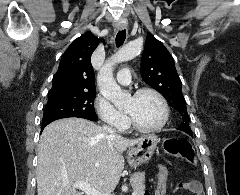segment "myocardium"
<instances>
[{
    "label": "myocardium",
    "instance_id": "f54148a6",
    "mask_svg": "<svg viewBox=\"0 0 240 195\" xmlns=\"http://www.w3.org/2000/svg\"><path fill=\"white\" fill-rule=\"evenodd\" d=\"M145 93H150V94L154 95L161 104L162 116H161L160 121L156 125L149 126V127H142V126L138 125L128 113H126V112H123V113L125 116L126 128H131L132 130H134L138 133L148 134V133L157 132L165 126V124L168 121V117H169V108H168V104H167L165 97L159 91H157L153 88H149V87L141 88V89L137 90L133 94L132 97L136 98Z\"/></svg>",
    "mask_w": 240,
    "mask_h": 195
}]
</instances>
